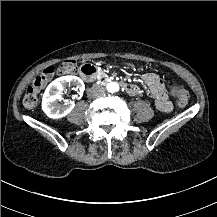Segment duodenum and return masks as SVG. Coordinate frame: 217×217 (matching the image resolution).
I'll return each mask as SVG.
<instances>
[{"instance_id": "1", "label": "duodenum", "mask_w": 217, "mask_h": 217, "mask_svg": "<svg viewBox=\"0 0 217 217\" xmlns=\"http://www.w3.org/2000/svg\"><path fill=\"white\" fill-rule=\"evenodd\" d=\"M96 73L97 68L93 64H84L80 69V74L86 82H93ZM123 88L130 95H134L138 92V87L134 84H125Z\"/></svg>"}]
</instances>
